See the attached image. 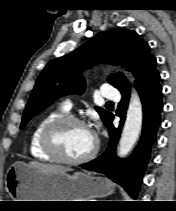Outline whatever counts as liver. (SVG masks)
Instances as JSON below:
<instances>
[{"mask_svg": "<svg viewBox=\"0 0 176 211\" xmlns=\"http://www.w3.org/2000/svg\"><path fill=\"white\" fill-rule=\"evenodd\" d=\"M28 165L30 167H33L42 171H62V172L71 171V169L68 167L58 166V165H53V164H44L40 162H30Z\"/></svg>", "mask_w": 176, "mask_h": 211, "instance_id": "6515ba94", "label": "liver"}]
</instances>
